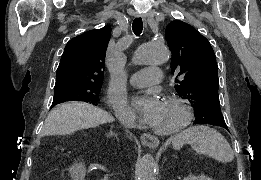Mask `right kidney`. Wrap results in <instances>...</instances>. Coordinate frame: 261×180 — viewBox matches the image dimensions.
Returning <instances> with one entry per match:
<instances>
[{
	"mask_svg": "<svg viewBox=\"0 0 261 180\" xmlns=\"http://www.w3.org/2000/svg\"><path fill=\"white\" fill-rule=\"evenodd\" d=\"M70 174H72L74 180H78V178H80V180H84L85 168L84 166H80V164H77L75 168H71Z\"/></svg>",
	"mask_w": 261,
	"mask_h": 180,
	"instance_id": "1",
	"label": "right kidney"
}]
</instances>
